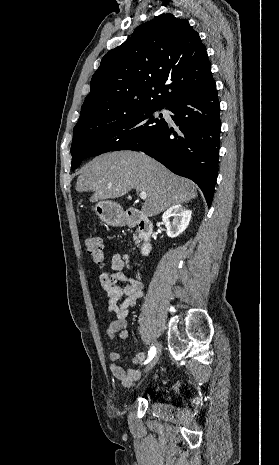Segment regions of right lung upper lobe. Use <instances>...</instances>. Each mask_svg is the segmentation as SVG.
<instances>
[{
	"mask_svg": "<svg viewBox=\"0 0 279 465\" xmlns=\"http://www.w3.org/2000/svg\"><path fill=\"white\" fill-rule=\"evenodd\" d=\"M212 78L206 48L187 20L161 14L109 51L91 80L76 126L164 108Z\"/></svg>",
	"mask_w": 279,
	"mask_h": 465,
	"instance_id": "right-lung-upper-lobe-1",
	"label": "right lung upper lobe"
}]
</instances>
